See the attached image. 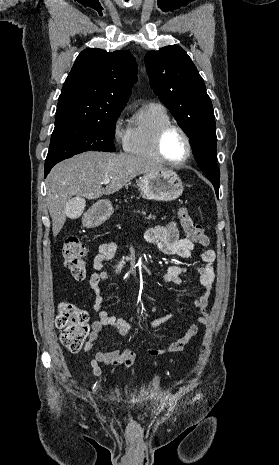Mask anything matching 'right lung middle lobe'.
<instances>
[{"instance_id":"1","label":"right lung middle lobe","mask_w":279,"mask_h":465,"mask_svg":"<svg viewBox=\"0 0 279 465\" xmlns=\"http://www.w3.org/2000/svg\"><path fill=\"white\" fill-rule=\"evenodd\" d=\"M122 109L110 111L99 120L57 125L51 135L45 167L89 150L114 152L115 123Z\"/></svg>"}]
</instances>
